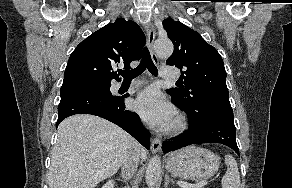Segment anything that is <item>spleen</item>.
<instances>
[{
    "mask_svg": "<svg viewBox=\"0 0 292 188\" xmlns=\"http://www.w3.org/2000/svg\"><path fill=\"white\" fill-rule=\"evenodd\" d=\"M227 171L222 178V188H240V175L237 163L233 156L225 155Z\"/></svg>",
    "mask_w": 292,
    "mask_h": 188,
    "instance_id": "spleen-1",
    "label": "spleen"
}]
</instances>
